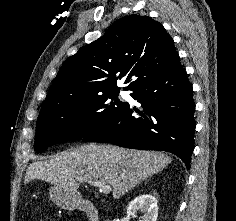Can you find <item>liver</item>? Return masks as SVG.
I'll return each mask as SVG.
<instances>
[{
    "instance_id": "liver-1",
    "label": "liver",
    "mask_w": 236,
    "mask_h": 221,
    "mask_svg": "<svg viewBox=\"0 0 236 221\" xmlns=\"http://www.w3.org/2000/svg\"><path fill=\"white\" fill-rule=\"evenodd\" d=\"M171 161L170 156L160 152L86 144L33 162L26 171L25 182L38 179L77 192L76 178L83 177L112 186L113 198L119 199Z\"/></svg>"
}]
</instances>
